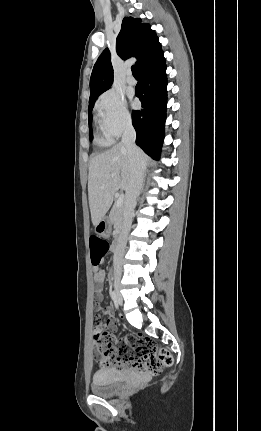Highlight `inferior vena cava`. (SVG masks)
<instances>
[{"label": "inferior vena cava", "instance_id": "obj_1", "mask_svg": "<svg viewBox=\"0 0 261 431\" xmlns=\"http://www.w3.org/2000/svg\"><path fill=\"white\" fill-rule=\"evenodd\" d=\"M136 140V132L131 122H128L125 125L124 132L122 135V144L126 147L130 163L132 167V176L130 186L126 191L125 196V204L123 211V225L121 229V233L118 238L117 247L114 253V260L116 261L114 274L117 277L121 276L122 266L119 261L122 259L128 234L131 230L132 225V217L133 212L137 204V198L140 195L142 185H143V176H144V163L140 157V151L138 147L135 145Z\"/></svg>", "mask_w": 261, "mask_h": 431}]
</instances>
